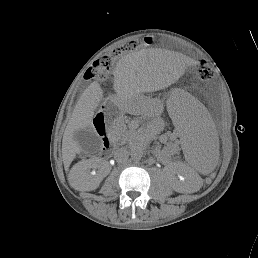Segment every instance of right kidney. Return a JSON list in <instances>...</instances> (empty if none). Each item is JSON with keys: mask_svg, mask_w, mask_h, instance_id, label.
<instances>
[{"mask_svg": "<svg viewBox=\"0 0 258 258\" xmlns=\"http://www.w3.org/2000/svg\"><path fill=\"white\" fill-rule=\"evenodd\" d=\"M103 164H104V162H103L101 159H96V160L94 161L92 167H93L94 169H97V168L99 169ZM84 172H85L87 175H90L89 172L87 171V169H84ZM73 174L75 175V177L78 178V176H77L78 171H77V170H75V171L73 172ZM98 186H99V182H96L95 184H93V185L91 186L90 190H94V189H96Z\"/></svg>", "mask_w": 258, "mask_h": 258, "instance_id": "ca27d5eb", "label": "right kidney"}]
</instances>
